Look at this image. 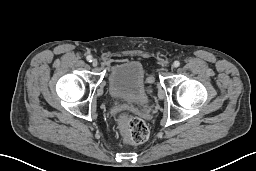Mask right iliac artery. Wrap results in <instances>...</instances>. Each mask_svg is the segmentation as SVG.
<instances>
[{"instance_id": "82829eb1", "label": "right iliac artery", "mask_w": 256, "mask_h": 171, "mask_svg": "<svg viewBox=\"0 0 256 171\" xmlns=\"http://www.w3.org/2000/svg\"><path fill=\"white\" fill-rule=\"evenodd\" d=\"M86 59H87V61L92 62V56H91V55H88V56L86 57Z\"/></svg>"}]
</instances>
